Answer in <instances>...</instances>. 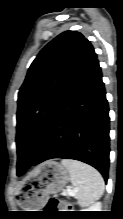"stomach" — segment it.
<instances>
[{
	"label": "stomach",
	"instance_id": "1",
	"mask_svg": "<svg viewBox=\"0 0 123 219\" xmlns=\"http://www.w3.org/2000/svg\"><path fill=\"white\" fill-rule=\"evenodd\" d=\"M69 172L62 164L49 160L37 166L28 181L18 191V204L25 211H38L47 203L51 194L63 190Z\"/></svg>",
	"mask_w": 123,
	"mask_h": 219
}]
</instances>
